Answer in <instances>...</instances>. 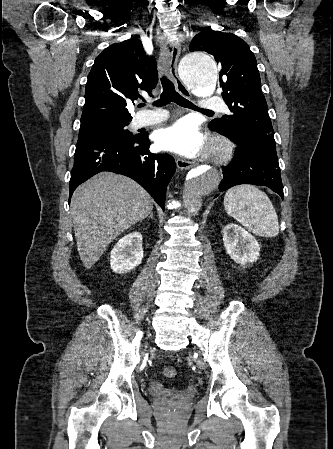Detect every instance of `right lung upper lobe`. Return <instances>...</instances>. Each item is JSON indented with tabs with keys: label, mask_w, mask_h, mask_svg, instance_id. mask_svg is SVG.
<instances>
[{
	"label": "right lung upper lobe",
	"mask_w": 333,
	"mask_h": 449,
	"mask_svg": "<svg viewBox=\"0 0 333 449\" xmlns=\"http://www.w3.org/2000/svg\"><path fill=\"white\" fill-rule=\"evenodd\" d=\"M157 81L155 58L146 55L139 39L110 45L88 75L80 128L131 121L127 102L140 97L139 88L150 94Z\"/></svg>",
	"instance_id": "1"
}]
</instances>
